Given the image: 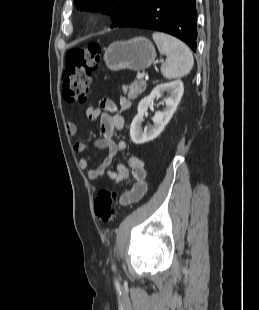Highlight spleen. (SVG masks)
<instances>
[{
    "mask_svg": "<svg viewBox=\"0 0 259 310\" xmlns=\"http://www.w3.org/2000/svg\"><path fill=\"white\" fill-rule=\"evenodd\" d=\"M153 40L166 61L161 66V73L167 79L181 78L190 73L194 59L190 49L179 39L161 32L152 34Z\"/></svg>",
    "mask_w": 259,
    "mask_h": 310,
    "instance_id": "1",
    "label": "spleen"
}]
</instances>
